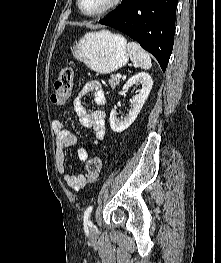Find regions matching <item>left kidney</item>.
Wrapping results in <instances>:
<instances>
[{
	"label": "left kidney",
	"mask_w": 221,
	"mask_h": 263,
	"mask_svg": "<svg viewBox=\"0 0 221 263\" xmlns=\"http://www.w3.org/2000/svg\"><path fill=\"white\" fill-rule=\"evenodd\" d=\"M140 86L138 94L130 99L131 108L127 116L120 120L117 118V112L112 109L110 113V126L114 132H122L126 130L137 118L140 113L148 95L152 89L153 81L148 73L141 72L131 77L123 87L124 91H127L131 86Z\"/></svg>",
	"instance_id": "left-kidney-1"
}]
</instances>
